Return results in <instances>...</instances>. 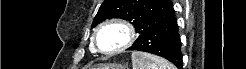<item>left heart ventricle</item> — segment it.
I'll return each instance as SVG.
<instances>
[{
    "instance_id": "b2bd125f",
    "label": "left heart ventricle",
    "mask_w": 246,
    "mask_h": 69,
    "mask_svg": "<svg viewBox=\"0 0 246 69\" xmlns=\"http://www.w3.org/2000/svg\"><path fill=\"white\" fill-rule=\"evenodd\" d=\"M126 38L125 31L118 26H108L99 32L97 40L100 48H108L121 44Z\"/></svg>"
}]
</instances>
